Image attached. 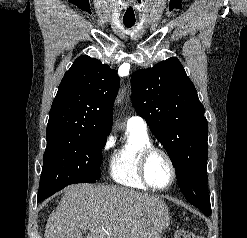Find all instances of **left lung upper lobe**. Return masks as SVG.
Masks as SVG:
<instances>
[{
	"label": "left lung upper lobe",
	"instance_id": "1",
	"mask_svg": "<svg viewBox=\"0 0 247 238\" xmlns=\"http://www.w3.org/2000/svg\"><path fill=\"white\" fill-rule=\"evenodd\" d=\"M131 83L133 106L169 154L181 191L192 205L209 216L208 123L182 64L171 57L137 71Z\"/></svg>",
	"mask_w": 247,
	"mask_h": 238
}]
</instances>
